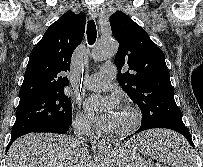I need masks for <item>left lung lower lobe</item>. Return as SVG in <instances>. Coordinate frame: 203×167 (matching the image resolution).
<instances>
[{
    "label": "left lung lower lobe",
    "mask_w": 203,
    "mask_h": 167,
    "mask_svg": "<svg viewBox=\"0 0 203 167\" xmlns=\"http://www.w3.org/2000/svg\"><path fill=\"white\" fill-rule=\"evenodd\" d=\"M159 128H168V129H171V130H174V131L178 132L179 134L183 135L186 138V140L190 143V145L192 147H194L190 132L184 125L166 126V127H159ZM147 129H149V128H141L140 127L135 133H138V132H141V131H144V130H147Z\"/></svg>",
    "instance_id": "0a47b994"
}]
</instances>
